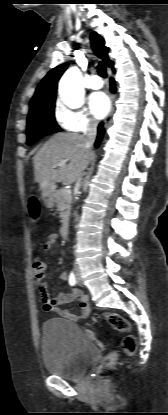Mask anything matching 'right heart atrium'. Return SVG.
I'll return each mask as SVG.
<instances>
[{
	"label": "right heart atrium",
	"instance_id": "right-heart-atrium-1",
	"mask_svg": "<svg viewBox=\"0 0 168 415\" xmlns=\"http://www.w3.org/2000/svg\"><path fill=\"white\" fill-rule=\"evenodd\" d=\"M55 119L67 132L86 134L93 132L97 127V122L86 108L72 109L61 102L55 107Z\"/></svg>",
	"mask_w": 168,
	"mask_h": 415
}]
</instances>
